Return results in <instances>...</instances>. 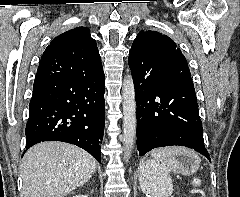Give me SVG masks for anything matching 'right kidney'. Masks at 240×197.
<instances>
[{
  "mask_svg": "<svg viewBox=\"0 0 240 197\" xmlns=\"http://www.w3.org/2000/svg\"><path fill=\"white\" fill-rule=\"evenodd\" d=\"M73 197H88L87 195H83V194H78V195H75Z\"/></svg>",
  "mask_w": 240,
  "mask_h": 197,
  "instance_id": "1",
  "label": "right kidney"
}]
</instances>
